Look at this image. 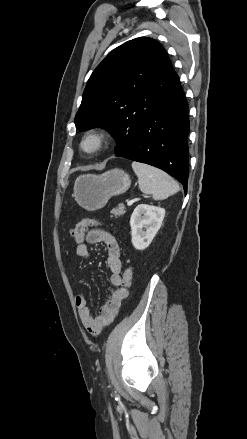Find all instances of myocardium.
Returning <instances> with one entry per match:
<instances>
[{"mask_svg": "<svg viewBox=\"0 0 247 439\" xmlns=\"http://www.w3.org/2000/svg\"><path fill=\"white\" fill-rule=\"evenodd\" d=\"M109 140V133L102 127H93L88 129L79 142L80 150L85 154H95L101 151ZM93 142V146L88 147L87 143Z\"/></svg>", "mask_w": 247, "mask_h": 439, "instance_id": "myocardium-1", "label": "myocardium"}]
</instances>
